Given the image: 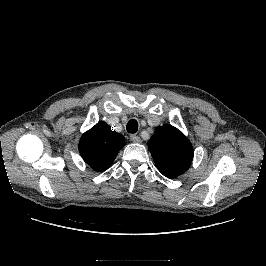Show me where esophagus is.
Wrapping results in <instances>:
<instances>
[{"label":"esophagus","mask_w":266,"mask_h":266,"mask_svg":"<svg viewBox=\"0 0 266 266\" xmlns=\"http://www.w3.org/2000/svg\"><path fill=\"white\" fill-rule=\"evenodd\" d=\"M130 139L132 142L134 143H140L141 142V138L135 134H131L130 135Z\"/></svg>","instance_id":"obj_1"}]
</instances>
